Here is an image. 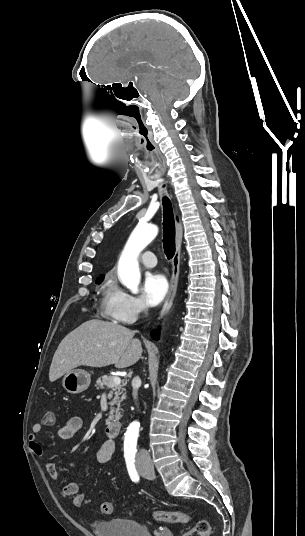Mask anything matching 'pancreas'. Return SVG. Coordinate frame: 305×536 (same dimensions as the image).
I'll list each match as a JSON object with an SVG mask.
<instances>
[{
  "label": "pancreas",
  "mask_w": 305,
  "mask_h": 536,
  "mask_svg": "<svg viewBox=\"0 0 305 536\" xmlns=\"http://www.w3.org/2000/svg\"><path fill=\"white\" fill-rule=\"evenodd\" d=\"M112 378H115V376H102V378H98L96 382L97 390H104L105 386H108L109 382H112ZM123 386H126V384H122V386L120 384H114L110 394H108L109 400H112L110 402L111 412H109L108 420H115V424H119L121 418V402L126 400L125 388ZM114 406H117V408H114Z\"/></svg>",
  "instance_id": "1"
}]
</instances>
